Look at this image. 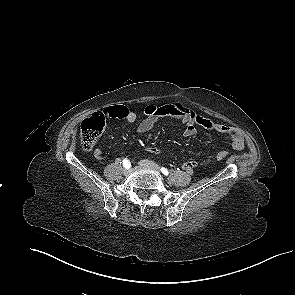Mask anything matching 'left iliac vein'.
I'll return each mask as SVG.
<instances>
[{"label":"left iliac vein","mask_w":295,"mask_h":295,"mask_svg":"<svg viewBox=\"0 0 295 295\" xmlns=\"http://www.w3.org/2000/svg\"><path fill=\"white\" fill-rule=\"evenodd\" d=\"M139 164H140L141 166L149 167V168H151V169H153V170L159 172V167H158V165H157L156 163L152 162V161H149V160H141V161L139 162Z\"/></svg>","instance_id":"4c4485c4"}]
</instances>
